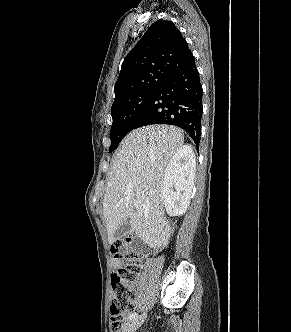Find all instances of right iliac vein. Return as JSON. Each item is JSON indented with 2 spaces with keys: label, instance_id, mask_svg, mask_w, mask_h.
<instances>
[{
  "label": "right iliac vein",
  "instance_id": "1",
  "mask_svg": "<svg viewBox=\"0 0 291 332\" xmlns=\"http://www.w3.org/2000/svg\"><path fill=\"white\" fill-rule=\"evenodd\" d=\"M145 317H146V314H143L139 317L132 319L130 322H128L125 325L123 332H135L142 325Z\"/></svg>",
  "mask_w": 291,
  "mask_h": 332
}]
</instances>
